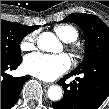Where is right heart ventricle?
<instances>
[{"label": "right heart ventricle", "instance_id": "right-heart-ventricle-1", "mask_svg": "<svg viewBox=\"0 0 109 109\" xmlns=\"http://www.w3.org/2000/svg\"><path fill=\"white\" fill-rule=\"evenodd\" d=\"M56 35L64 42L71 43L78 38V31L69 24H60L54 27Z\"/></svg>", "mask_w": 109, "mask_h": 109}]
</instances>
